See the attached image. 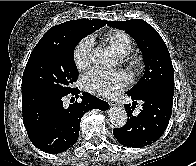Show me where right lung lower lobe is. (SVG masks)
I'll list each match as a JSON object with an SVG mask.
<instances>
[{"instance_id":"obj_1","label":"right lung lower lobe","mask_w":196,"mask_h":166,"mask_svg":"<svg viewBox=\"0 0 196 166\" xmlns=\"http://www.w3.org/2000/svg\"><path fill=\"white\" fill-rule=\"evenodd\" d=\"M74 89L69 95L79 97ZM68 95V94H66ZM65 94L32 91L22 94V113L31 142L46 153H61L72 147L78 139L81 117L89 110H107L109 104L84 92L80 103L63 105Z\"/></svg>"}]
</instances>
